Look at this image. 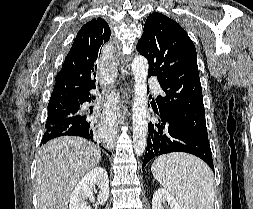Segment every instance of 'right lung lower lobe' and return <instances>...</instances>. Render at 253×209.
<instances>
[{
    "label": "right lung lower lobe",
    "instance_id": "98d812e1",
    "mask_svg": "<svg viewBox=\"0 0 253 209\" xmlns=\"http://www.w3.org/2000/svg\"><path fill=\"white\" fill-rule=\"evenodd\" d=\"M94 98L89 92L67 103L56 101L49 103L48 109L68 110L71 111V115L58 123L48 125L42 138V143L60 136H79L96 143V140L99 139L96 123L82 108L83 103L91 102ZM108 153L111 154L110 152Z\"/></svg>",
    "mask_w": 253,
    "mask_h": 209
}]
</instances>
